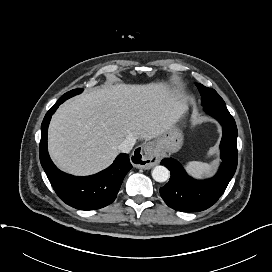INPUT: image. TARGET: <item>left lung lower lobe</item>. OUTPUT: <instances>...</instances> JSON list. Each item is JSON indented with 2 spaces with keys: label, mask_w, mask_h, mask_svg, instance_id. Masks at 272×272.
I'll list each match as a JSON object with an SVG mask.
<instances>
[{
  "label": "left lung lower lobe",
  "mask_w": 272,
  "mask_h": 272,
  "mask_svg": "<svg viewBox=\"0 0 272 272\" xmlns=\"http://www.w3.org/2000/svg\"><path fill=\"white\" fill-rule=\"evenodd\" d=\"M204 110L222 125V162L213 178L195 180L187 175L178 161L172 158L161 161L160 164L170 170L171 177L160 188V195L169 207L177 211L199 212L211 207L224 193L237 168V127L234 118L226 105L208 106Z\"/></svg>",
  "instance_id": "1"
}]
</instances>
